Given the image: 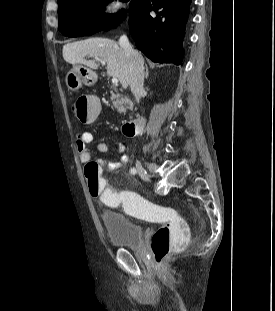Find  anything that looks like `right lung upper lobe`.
Segmentation results:
<instances>
[{
	"instance_id": "1",
	"label": "right lung upper lobe",
	"mask_w": 275,
	"mask_h": 311,
	"mask_svg": "<svg viewBox=\"0 0 275 311\" xmlns=\"http://www.w3.org/2000/svg\"><path fill=\"white\" fill-rule=\"evenodd\" d=\"M67 1H69V0H57L58 5H60V4L64 3V2H67Z\"/></svg>"
}]
</instances>
